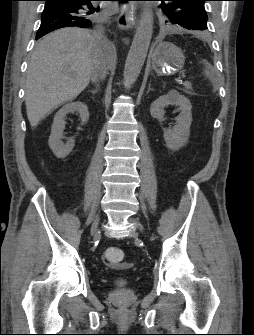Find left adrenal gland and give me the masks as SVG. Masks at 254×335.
Masks as SVG:
<instances>
[{
	"mask_svg": "<svg viewBox=\"0 0 254 335\" xmlns=\"http://www.w3.org/2000/svg\"><path fill=\"white\" fill-rule=\"evenodd\" d=\"M151 90H152V89H151V84H149V85H148V91H147V93H149Z\"/></svg>",
	"mask_w": 254,
	"mask_h": 335,
	"instance_id": "obj_1",
	"label": "left adrenal gland"
}]
</instances>
